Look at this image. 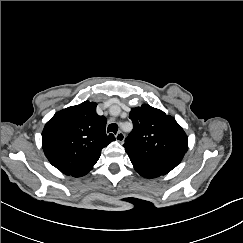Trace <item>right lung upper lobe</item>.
Segmentation results:
<instances>
[{
  "instance_id": "right-lung-upper-lobe-1",
  "label": "right lung upper lobe",
  "mask_w": 243,
  "mask_h": 243,
  "mask_svg": "<svg viewBox=\"0 0 243 243\" xmlns=\"http://www.w3.org/2000/svg\"><path fill=\"white\" fill-rule=\"evenodd\" d=\"M97 104L85 101L57 113L42 132V147L50 163L65 175H86L98 161L102 148L115 140L105 132L106 118Z\"/></svg>"
}]
</instances>
